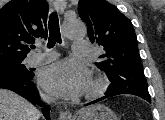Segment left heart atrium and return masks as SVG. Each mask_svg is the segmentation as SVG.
<instances>
[{
  "instance_id": "39dd6f15",
  "label": "left heart atrium",
  "mask_w": 165,
  "mask_h": 120,
  "mask_svg": "<svg viewBox=\"0 0 165 120\" xmlns=\"http://www.w3.org/2000/svg\"><path fill=\"white\" fill-rule=\"evenodd\" d=\"M39 82L46 91L54 95L74 98L87 91L91 78L85 65L78 61L66 60L45 68Z\"/></svg>"
}]
</instances>
